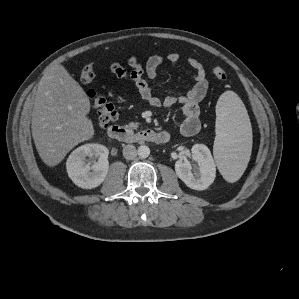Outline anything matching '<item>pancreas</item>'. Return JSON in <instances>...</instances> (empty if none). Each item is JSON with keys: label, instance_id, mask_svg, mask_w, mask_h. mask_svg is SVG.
<instances>
[{"label": "pancreas", "instance_id": "obj_1", "mask_svg": "<svg viewBox=\"0 0 299 299\" xmlns=\"http://www.w3.org/2000/svg\"><path fill=\"white\" fill-rule=\"evenodd\" d=\"M140 123L139 122H130L128 125H126V128L129 130H137L139 128Z\"/></svg>", "mask_w": 299, "mask_h": 299}]
</instances>
